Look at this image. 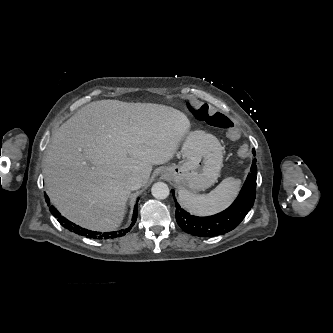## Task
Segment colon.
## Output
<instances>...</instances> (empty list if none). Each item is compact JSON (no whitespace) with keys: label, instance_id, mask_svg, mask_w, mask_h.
I'll return each mask as SVG.
<instances>
[{"label":"colon","instance_id":"1","mask_svg":"<svg viewBox=\"0 0 333 333\" xmlns=\"http://www.w3.org/2000/svg\"><path fill=\"white\" fill-rule=\"evenodd\" d=\"M191 113L194 115V117L200 121H203L207 123L208 125L225 129V130H237L234 128V125L231 121V119L221 113L217 112L215 110H212L209 105L207 104H190L189 106ZM238 133V132H237ZM239 137V133H238Z\"/></svg>","mask_w":333,"mask_h":333}]
</instances>
